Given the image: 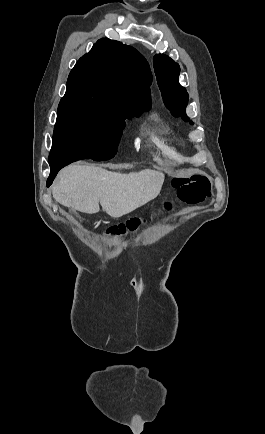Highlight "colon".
<instances>
[{
	"instance_id": "colon-1",
	"label": "colon",
	"mask_w": 265,
	"mask_h": 434,
	"mask_svg": "<svg viewBox=\"0 0 265 434\" xmlns=\"http://www.w3.org/2000/svg\"><path fill=\"white\" fill-rule=\"evenodd\" d=\"M198 171V168H197ZM193 172L188 180L179 177L173 181V188L177 193H183V202H209V193H202L203 189L209 188L206 172ZM174 204L171 201H164L158 208L154 209L150 217L156 216L161 211L171 212ZM148 221V217L141 219H130L125 223L111 226L106 233L108 238H120L126 234L136 235L141 227Z\"/></svg>"
}]
</instances>
